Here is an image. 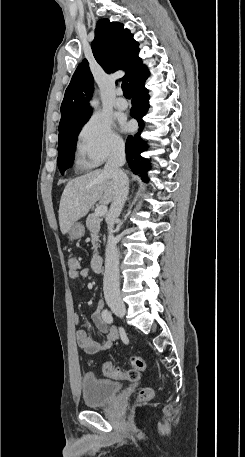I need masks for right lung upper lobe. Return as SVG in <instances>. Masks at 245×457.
Returning a JSON list of instances; mask_svg holds the SVG:
<instances>
[{
  "instance_id": "right-lung-upper-lobe-1",
  "label": "right lung upper lobe",
  "mask_w": 245,
  "mask_h": 457,
  "mask_svg": "<svg viewBox=\"0 0 245 457\" xmlns=\"http://www.w3.org/2000/svg\"><path fill=\"white\" fill-rule=\"evenodd\" d=\"M93 55L99 65L108 73L125 70L122 80L130 86L133 82L149 74L138 57L139 43L133 39L123 24L100 19L91 44ZM93 89V76L84 59L75 70L61 104L59 128L65 124L90 117L89 99Z\"/></svg>"
}]
</instances>
